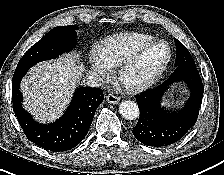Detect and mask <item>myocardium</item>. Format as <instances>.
Wrapping results in <instances>:
<instances>
[{"mask_svg":"<svg viewBox=\"0 0 224 175\" xmlns=\"http://www.w3.org/2000/svg\"><path fill=\"white\" fill-rule=\"evenodd\" d=\"M162 44L166 47V57L160 67L149 77H147L144 80L128 83L125 81L126 74L131 70L137 62L140 60L142 55L151 47ZM172 58V51L169 46V44L162 39H154L144 45H142L140 48H138L129 58H127L124 62H122L118 66L117 71V78L121 85L129 92H140L145 89H148L152 85H154L158 79L163 75V73L166 71L170 61Z\"/></svg>","mask_w":224,"mask_h":175,"instance_id":"obj_1","label":"myocardium"}]
</instances>
